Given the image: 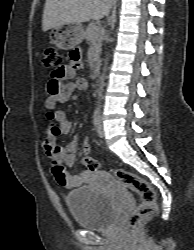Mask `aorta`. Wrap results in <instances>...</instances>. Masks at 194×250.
I'll use <instances>...</instances> for the list:
<instances>
[{"label": "aorta", "mask_w": 194, "mask_h": 250, "mask_svg": "<svg viewBox=\"0 0 194 250\" xmlns=\"http://www.w3.org/2000/svg\"><path fill=\"white\" fill-rule=\"evenodd\" d=\"M107 64H108V58L105 59V66L103 69V74L100 78V84H99V89H98V101H97V107H96V112L100 110V102L102 99V93H103V88L105 85V78H106V70H107Z\"/></svg>", "instance_id": "762f6f07"}]
</instances>
